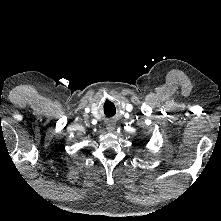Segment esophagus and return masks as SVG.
Listing matches in <instances>:
<instances>
[{
  "mask_svg": "<svg viewBox=\"0 0 221 221\" xmlns=\"http://www.w3.org/2000/svg\"><path fill=\"white\" fill-rule=\"evenodd\" d=\"M115 128V123L113 121H109L106 125V129L109 132H112Z\"/></svg>",
  "mask_w": 221,
  "mask_h": 221,
  "instance_id": "esophagus-1",
  "label": "esophagus"
}]
</instances>
